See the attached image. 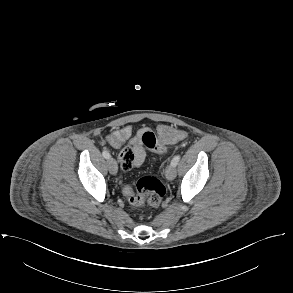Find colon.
<instances>
[{"instance_id": "colon-1", "label": "colon", "mask_w": 293, "mask_h": 293, "mask_svg": "<svg viewBox=\"0 0 293 293\" xmlns=\"http://www.w3.org/2000/svg\"><path fill=\"white\" fill-rule=\"evenodd\" d=\"M143 144L152 152L164 154L166 146L157 140L155 134L151 131H145L142 134ZM123 192L129 203L138 207L147 202L151 206H159L166 193L164 184L154 176H143L136 184V193L129 185H125Z\"/></svg>"}]
</instances>
